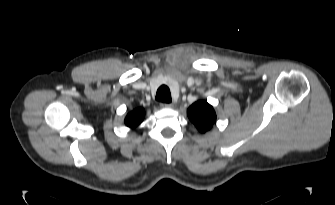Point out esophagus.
Instances as JSON below:
<instances>
[{"mask_svg": "<svg viewBox=\"0 0 335 205\" xmlns=\"http://www.w3.org/2000/svg\"><path fill=\"white\" fill-rule=\"evenodd\" d=\"M160 106H161V108H172L173 104H171V103H161Z\"/></svg>", "mask_w": 335, "mask_h": 205, "instance_id": "obj_1", "label": "esophagus"}]
</instances>
